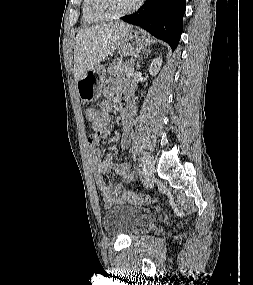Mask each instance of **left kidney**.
Instances as JSON below:
<instances>
[{"label": "left kidney", "instance_id": "left-kidney-1", "mask_svg": "<svg viewBox=\"0 0 253 285\" xmlns=\"http://www.w3.org/2000/svg\"><path fill=\"white\" fill-rule=\"evenodd\" d=\"M161 65H162V58L161 57L153 59V61L150 64V67H149L150 74L153 76L157 75L159 70H160Z\"/></svg>", "mask_w": 253, "mask_h": 285}]
</instances>
